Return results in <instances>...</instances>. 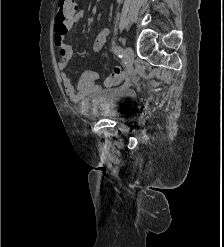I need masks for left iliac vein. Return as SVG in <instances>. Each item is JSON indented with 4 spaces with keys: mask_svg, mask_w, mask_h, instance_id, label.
Returning <instances> with one entry per match:
<instances>
[{
    "mask_svg": "<svg viewBox=\"0 0 224 247\" xmlns=\"http://www.w3.org/2000/svg\"><path fill=\"white\" fill-rule=\"evenodd\" d=\"M124 56L127 63L132 64L134 60V51L131 47H126L124 50Z\"/></svg>",
    "mask_w": 224,
    "mask_h": 247,
    "instance_id": "left-iliac-vein-1",
    "label": "left iliac vein"
}]
</instances>
